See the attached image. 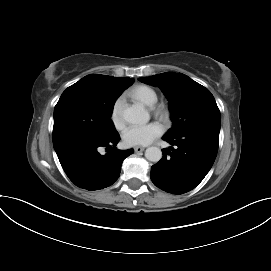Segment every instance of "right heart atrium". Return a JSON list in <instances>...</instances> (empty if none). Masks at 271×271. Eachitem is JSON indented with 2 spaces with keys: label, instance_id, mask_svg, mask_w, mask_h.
<instances>
[{
  "label": "right heart atrium",
  "instance_id": "d8ad5b80",
  "mask_svg": "<svg viewBox=\"0 0 271 271\" xmlns=\"http://www.w3.org/2000/svg\"><path fill=\"white\" fill-rule=\"evenodd\" d=\"M123 104H124L123 97H118L115 100L111 109V114H110L111 121L113 125L118 129L122 128L124 124L123 115H122Z\"/></svg>",
  "mask_w": 271,
  "mask_h": 271
}]
</instances>
